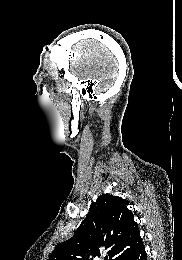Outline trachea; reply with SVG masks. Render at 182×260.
<instances>
[{
	"label": "trachea",
	"mask_w": 182,
	"mask_h": 260,
	"mask_svg": "<svg viewBox=\"0 0 182 260\" xmlns=\"http://www.w3.org/2000/svg\"><path fill=\"white\" fill-rule=\"evenodd\" d=\"M105 260H108V257H105Z\"/></svg>",
	"instance_id": "3493384b"
}]
</instances>
